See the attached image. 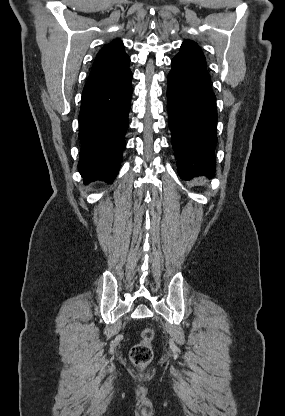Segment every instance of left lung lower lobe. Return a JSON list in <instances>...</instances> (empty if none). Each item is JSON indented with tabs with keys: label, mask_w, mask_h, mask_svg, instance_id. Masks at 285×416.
Here are the masks:
<instances>
[{
	"label": "left lung lower lobe",
	"mask_w": 285,
	"mask_h": 416,
	"mask_svg": "<svg viewBox=\"0 0 285 416\" xmlns=\"http://www.w3.org/2000/svg\"><path fill=\"white\" fill-rule=\"evenodd\" d=\"M167 76L171 143L183 179L215 176L216 97L206 68L175 56Z\"/></svg>",
	"instance_id": "left-lung-lower-lobe-1"
}]
</instances>
